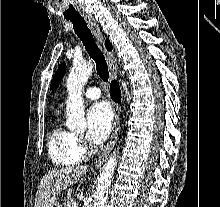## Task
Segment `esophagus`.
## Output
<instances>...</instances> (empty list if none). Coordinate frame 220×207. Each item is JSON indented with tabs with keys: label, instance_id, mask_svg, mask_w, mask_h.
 I'll return each instance as SVG.
<instances>
[{
	"label": "esophagus",
	"instance_id": "34e87169",
	"mask_svg": "<svg viewBox=\"0 0 220 207\" xmlns=\"http://www.w3.org/2000/svg\"><path fill=\"white\" fill-rule=\"evenodd\" d=\"M85 21L87 22L88 26L92 30L94 36L96 37L98 43L102 44V41L104 39V36L101 32V29L97 23V21L94 19L93 16L84 14L83 15ZM103 52L105 54L108 67H109V73H110V79L115 80L117 78L116 76V58L113 52L108 51L105 46H103ZM113 109H114V122H113V130L112 134L110 136V139L103 150L102 154L100 155L99 159L97 160L95 167L99 168L101 165L105 162L107 157L109 156L111 150L113 149L117 137H118V132L120 128V107L117 104H113Z\"/></svg>",
	"mask_w": 220,
	"mask_h": 207
}]
</instances>
